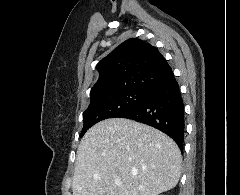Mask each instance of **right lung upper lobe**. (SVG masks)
<instances>
[{"mask_svg":"<svg viewBox=\"0 0 240 195\" xmlns=\"http://www.w3.org/2000/svg\"><path fill=\"white\" fill-rule=\"evenodd\" d=\"M100 76L90 92L91 99L123 90L147 92L173 76L156 47L136 38L121 43L97 65Z\"/></svg>","mask_w":240,"mask_h":195,"instance_id":"obj_1","label":"right lung upper lobe"}]
</instances>
